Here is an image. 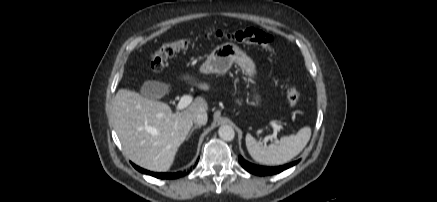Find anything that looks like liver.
<instances>
[{
	"label": "liver",
	"mask_w": 437,
	"mask_h": 202,
	"mask_svg": "<svg viewBox=\"0 0 437 202\" xmlns=\"http://www.w3.org/2000/svg\"><path fill=\"white\" fill-rule=\"evenodd\" d=\"M182 79L201 90L210 89L208 83L189 74ZM207 110L201 96L183 111L173 113L166 103L127 89L118 90L112 104L115 130L125 155L135 164L158 172L170 169L193 126V116Z\"/></svg>",
	"instance_id": "6515ba94"
}]
</instances>
